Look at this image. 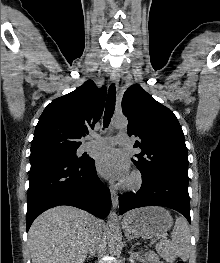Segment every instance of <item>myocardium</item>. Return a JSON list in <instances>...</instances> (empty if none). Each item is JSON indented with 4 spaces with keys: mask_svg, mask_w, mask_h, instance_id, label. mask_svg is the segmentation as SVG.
<instances>
[{
    "mask_svg": "<svg viewBox=\"0 0 220 263\" xmlns=\"http://www.w3.org/2000/svg\"><path fill=\"white\" fill-rule=\"evenodd\" d=\"M143 183V177L139 171H133L125 180L122 188L127 191H136L140 189Z\"/></svg>",
    "mask_w": 220,
    "mask_h": 263,
    "instance_id": "obj_1",
    "label": "myocardium"
}]
</instances>
